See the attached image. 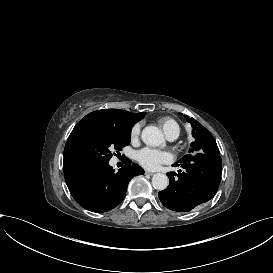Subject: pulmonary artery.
Here are the masks:
<instances>
[{
  "label": "pulmonary artery",
  "mask_w": 273,
  "mask_h": 273,
  "mask_svg": "<svg viewBox=\"0 0 273 273\" xmlns=\"http://www.w3.org/2000/svg\"><path fill=\"white\" fill-rule=\"evenodd\" d=\"M167 138H168L169 141L175 140V138L173 136H168Z\"/></svg>",
  "instance_id": "e3ab8cb5"
}]
</instances>
